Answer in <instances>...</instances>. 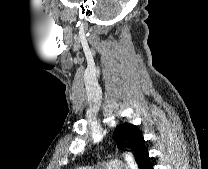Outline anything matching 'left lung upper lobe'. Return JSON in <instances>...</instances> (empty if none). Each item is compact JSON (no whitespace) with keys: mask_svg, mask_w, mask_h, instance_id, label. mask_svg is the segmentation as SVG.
Wrapping results in <instances>:
<instances>
[{"mask_svg":"<svg viewBox=\"0 0 208 169\" xmlns=\"http://www.w3.org/2000/svg\"><path fill=\"white\" fill-rule=\"evenodd\" d=\"M113 139L120 150L131 151L136 161L147 150L142 132L137 126L127 122L116 127Z\"/></svg>","mask_w":208,"mask_h":169,"instance_id":"obj_1","label":"left lung upper lobe"}]
</instances>
